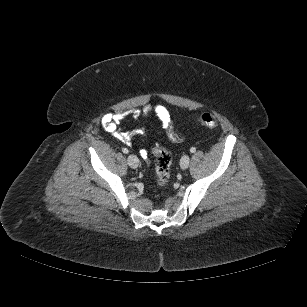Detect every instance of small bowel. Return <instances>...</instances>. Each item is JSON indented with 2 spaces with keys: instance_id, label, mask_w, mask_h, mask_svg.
<instances>
[{
  "instance_id": "obj_1",
  "label": "small bowel",
  "mask_w": 307,
  "mask_h": 307,
  "mask_svg": "<svg viewBox=\"0 0 307 307\" xmlns=\"http://www.w3.org/2000/svg\"><path fill=\"white\" fill-rule=\"evenodd\" d=\"M153 112H155L158 119L161 121L163 127H167L168 123L170 122V116L167 111V109L163 106L157 105V106H151L147 105L144 107L142 113L144 116L148 117ZM141 115V112L139 110H135L132 114L134 119L139 118ZM125 114L124 113H106L103 115L101 119L102 127L105 131L110 133L115 138L121 140L122 142L126 144H130V136L128 133L123 132L120 128V122L123 120ZM140 156L144 159L148 157V152L146 149L140 150Z\"/></svg>"
}]
</instances>
